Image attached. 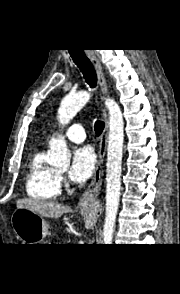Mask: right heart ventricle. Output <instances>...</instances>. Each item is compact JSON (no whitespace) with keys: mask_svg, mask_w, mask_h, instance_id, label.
I'll return each instance as SVG.
<instances>
[{"mask_svg":"<svg viewBox=\"0 0 180 294\" xmlns=\"http://www.w3.org/2000/svg\"><path fill=\"white\" fill-rule=\"evenodd\" d=\"M26 192L39 200H53L60 194L59 175L47 163V151L39 149L30 159Z\"/></svg>","mask_w":180,"mask_h":294,"instance_id":"obj_1","label":"right heart ventricle"}]
</instances>
